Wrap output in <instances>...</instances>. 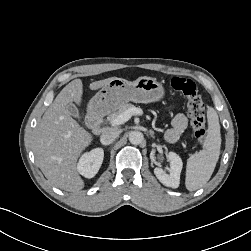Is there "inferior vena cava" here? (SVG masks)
Listing matches in <instances>:
<instances>
[{
    "mask_svg": "<svg viewBox=\"0 0 251 251\" xmlns=\"http://www.w3.org/2000/svg\"><path fill=\"white\" fill-rule=\"evenodd\" d=\"M120 131L116 129L107 130L100 136V142L103 145H110L119 136Z\"/></svg>",
    "mask_w": 251,
    "mask_h": 251,
    "instance_id": "1",
    "label": "inferior vena cava"
}]
</instances>
